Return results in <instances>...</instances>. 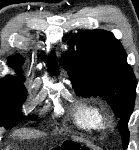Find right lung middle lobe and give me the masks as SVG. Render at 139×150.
<instances>
[{
	"instance_id": "obj_1",
	"label": "right lung middle lobe",
	"mask_w": 139,
	"mask_h": 150,
	"mask_svg": "<svg viewBox=\"0 0 139 150\" xmlns=\"http://www.w3.org/2000/svg\"><path fill=\"white\" fill-rule=\"evenodd\" d=\"M22 81V78L10 75L0 80V126L10 128L25 119L19 116L21 104L26 98V89Z\"/></svg>"
}]
</instances>
